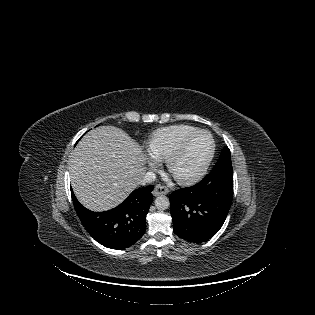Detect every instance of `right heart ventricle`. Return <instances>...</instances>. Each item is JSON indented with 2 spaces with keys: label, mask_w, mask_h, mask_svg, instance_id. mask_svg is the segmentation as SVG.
Segmentation results:
<instances>
[{
  "label": "right heart ventricle",
  "mask_w": 315,
  "mask_h": 315,
  "mask_svg": "<svg viewBox=\"0 0 315 315\" xmlns=\"http://www.w3.org/2000/svg\"><path fill=\"white\" fill-rule=\"evenodd\" d=\"M198 128L186 124L171 125L160 128L150 136L147 148L152 157L157 160L166 159L189 134Z\"/></svg>",
  "instance_id": "obj_1"
}]
</instances>
